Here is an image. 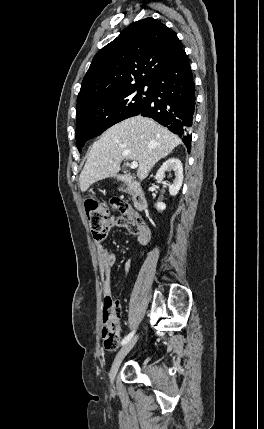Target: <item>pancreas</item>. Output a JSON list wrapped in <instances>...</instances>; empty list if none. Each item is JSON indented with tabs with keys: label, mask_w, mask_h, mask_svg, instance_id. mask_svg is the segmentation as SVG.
<instances>
[{
	"label": "pancreas",
	"mask_w": 264,
	"mask_h": 429,
	"mask_svg": "<svg viewBox=\"0 0 264 429\" xmlns=\"http://www.w3.org/2000/svg\"><path fill=\"white\" fill-rule=\"evenodd\" d=\"M121 190H122L123 192H128V193H130V192H131V189H130L129 187H127V188L122 187V188H121Z\"/></svg>",
	"instance_id": "obj_1"
}]
</instances>
